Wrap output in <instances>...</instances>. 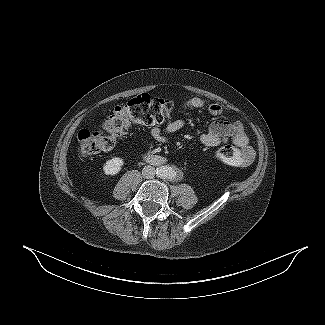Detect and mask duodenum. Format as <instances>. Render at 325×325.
<instances>
[{
    "instance_id": "410a0bca",
    "label": "duodenum",
    "mask_w": 325,
    "mask_h": 325,
    "mask_svg": "<svg viewBox=\"0 0 325 325\" xmlns=\"http://www.w3.org/2000/svg\"><path fill=\"white\" fill-rule=\"evenodd\" d=\"M144 157L150 164L154 166H160L166 163V158L159 155L145 154Z\"/></svg>"
}]
</instances>
